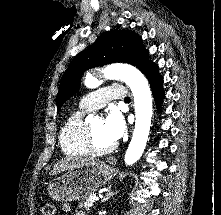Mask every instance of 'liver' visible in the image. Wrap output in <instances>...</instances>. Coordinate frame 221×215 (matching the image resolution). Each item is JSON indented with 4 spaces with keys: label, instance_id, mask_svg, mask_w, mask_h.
<instances>
[{
    "label": "liver",
    "instance_id": "1",
    "mask_svg": "<svg viewBox=\"0 0 221 215\" xmlns=\"http://www.w3.org/2000/svg\"><path fill=\"white\" fill-rule=\"evenodd\" d=\"M93 160L92 158L65 157L54 165L50 175H57L66 170L80 168Z\"/></svg>",
    "mask_w": 221,
    "mask_h": 215
}]
</instances>
